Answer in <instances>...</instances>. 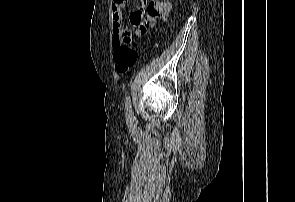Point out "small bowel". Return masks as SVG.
Returning a JSON list of instances; mask_svg holds the SVG:
<instances>
[{
  "instance_id": "small-bowel-1",
  "label": "small bowel",
  "mask_w": 295,
  "mask_h": 202,
  "mask_svg": "<svg viewBox=\"0 0 295 202\" xmlns=\"http://www.w3.org/2000/svg\"><path fill=\"white\" fill-rule=\"evenodd\" d=\"M129 7V0H113L112 17V44L118 47L121 44L124 13ZM172 10L168 0H140V6L129 13L130 24L141 33L152 28L158 18L165 19Z\"/></svg>"
}]
</instances>
